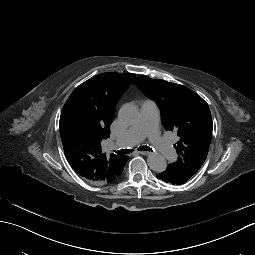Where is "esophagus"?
<instances>
[{
  "label": "esophagus",
  "mask_w": 255,
  "mask_h": 255,
  "mask_svg": "<svg viewBox=\"0 0 255 255\" xmlns=\"http://www.w3.org/2000/svg\"><path fill=\"white\" fill-rule=\"evenodd\" d=\"M139 153L142 154V155H149L150 154L149 151H139Z\"/></svg>",
  "instance_id": "34e87169"
}]
</instances>
